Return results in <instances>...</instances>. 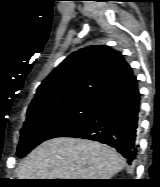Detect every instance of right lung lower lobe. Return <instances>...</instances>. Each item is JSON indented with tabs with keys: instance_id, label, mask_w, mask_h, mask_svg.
Segmentation results:
<instances>
[{
	"instance_id": "1",
	"label": "right lung lower lobe",
	"mask_w": 160,
	"mask_h": 187,
	"mask_svg": "<svg viewBox=\"0 0 160 187\" xmlns=\"http://www.w3.org/2000/svg\"><path fill=\"white\" fill-rule=\"evenodd\" d=\"M139 113L140 93L133 74L101 97L89 115L59 137L90 139L109 145L133 165L137 156Z\"/></svg>"
}]
</instances>
